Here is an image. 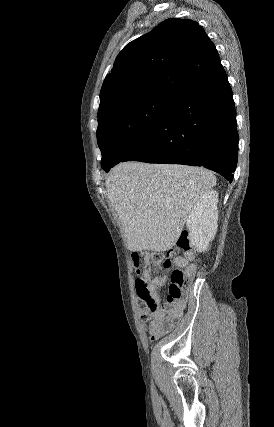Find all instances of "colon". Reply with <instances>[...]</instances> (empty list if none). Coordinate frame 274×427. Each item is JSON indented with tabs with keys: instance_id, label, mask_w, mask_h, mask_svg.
Instances as JSON below:
<instances>
[{
	"instance_id": "obj_1",
	"label": "colon",
	"mask_w": 274,
	"mask_h": 427,
	"mask_svg": "<svg viewBox=\"0 0 274 427\" xmlns=\"http://www.w3.org/2000/svg\"><path fill=\"white\" fill-rule=\"evenodd\" d=\"M175 247L184 248L185 250L190 248L188 229H181L180 235L175 236ZM161 260L156 257L142 256V251L138 249L133 251L132 264L134 272L138 276L140 275L138 279L133 280V291L138 292V296L142 297L140 319L145 323L150 318L147 311L155 314L160 309V306L152 298L149 291H147V279L149 278V264L153 261L159 262ZM163 264L165 269H171L170 283L163 297L168 304H173L183 295L189 278L188 271L180 267H173L170 257L165 258Z\"/></svg>"
}]
</instances>
